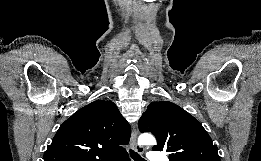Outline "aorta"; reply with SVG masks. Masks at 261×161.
<instances>
[{"label": "aorta", "mask_w": 261, "mask_h": 161, "mask_svg": "<svg viewBox=\"0 0 261 161\" xmlns=\"http://www.w3.org/2000/svg\"><path fill=\"white\" fill-rule=\"evenodd\" d=\"M138 142L141 145H148V146H150V145H155L156 140H155V138L151 134L144 133V134L139 136Z\"/></svg>", "instance_id": "aorta-1"}]
</instances>
